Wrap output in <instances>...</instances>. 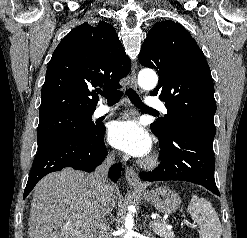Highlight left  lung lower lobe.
Listing matches in <instances>:
<instances>
[{
  "label": "left lung lower lobe",
  "instance_id": "left-lung-lower-lobe-1",
  "mask_svg": "<svg viewBox=\"0 0 247 238\" xmlns=\"http://www.w3.org/2000/svg\"><path fill=\"white\" fill-rule=\"evenodd\" d=\"M160 165L141 172L144 181L179 180L204 186L220 196L214 179L213 141L192 131L177 129L170 140L159 139Z\"/></svg>",
  "mask_w": 247,
  "mask_h": 238
}]
</instances>
